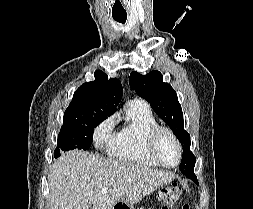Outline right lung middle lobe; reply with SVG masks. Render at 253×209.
Wrapping results in <instances>:
<instances>
[{
  "instance_id": "1",
  "label": "right lung middle lobe",
  "mask_w": 253,
  "mask_h": 209,
  "mask_svg": "<svg viewBox=\"0 0 253 209\" xmlns=\"http://www.w3.org/2000/svg\"><path fill=\"white\" fill-rule=\"evenodd\" d=\"M106 118L100 114H88L65 121L58 135L54 157H59L61 151L88 150L93 141L94 128Z\"/></svg>"
}]
</instances>
